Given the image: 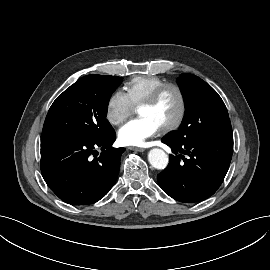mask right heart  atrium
Wrapping results in <instances>:
<instances>
[{
  "mask_svg": "<svg viewBox=\"0 0 270 270\" xmlns=\"http://www.w3.org/2000/svg\"><path fill=\"white\" fill-rule=\"evenodd\" d=\"M135 105L128 94L122 90H116L109 97L106 105L105 116L112 125H120L133 112Z\"/></svg>",
  "mask_w": 270,
  "mask_h": 270,
  "instance_id": "right-heart-atrium-1",
  "label": "right heart atrium"
}]
</instances>
